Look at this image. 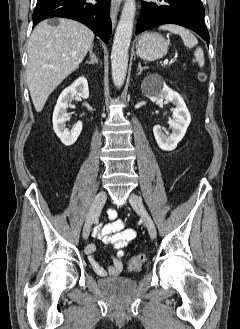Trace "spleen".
<instances>
[{"label":"spleen","instance_id":"3e777b00","mask_svg":"<svg viewBox=\"0 0 240 329\" xmlns=\"http://www.w3.org/2000/svg\"><path fill=\"white\" fill-rule=\"evenodd\" d=\"M160 30H167L174 34L180 35L183 40L184 45L187 48H192L197 45L198 41L196 37L184 27L175 24H165L159 27ZM195 59L200 67L204 66V52L198 47L194 53Z\"/></svg>","mask_w":240,"mask_h":329}]
</instances>
